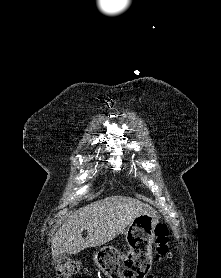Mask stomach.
I'll return each instance as SVG.
<instances>
[{
    "instance_id": "stomach-1",
    "label": "stomach",
    "mask_w": 221,
    "mask_h": 278,
    "mask_svg": "<svg viewBox=\"0 0 221 278\" xmlns=\"http://www.w3.org/2000/svg\"><path fill=\"white\" fill-rule=\"evenodd\" d=\"M158 222L153 213L136 216L125 231L130 254L105 246L93 255L96 265L109 278H147L152 272L151 248Z\"/></svg>"
}]
</instances>
